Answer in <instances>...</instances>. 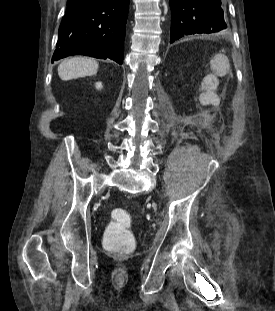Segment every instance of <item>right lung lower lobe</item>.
Returning a JSON list of instances; mask_svg holds the SVG:
<instances>
[{
  "label": "right lung lower lobe",
  "instance_id": "98d812e1",
  "mask_svg": "<svg viewBox=\"0 0 275 311\" xmlns=\"http://www.w3.org/2000/svg\"><path fill=\"white\" fill-rule=\"evenodd\" d=\"M129 0L69 1L52 62L71 55L123 63Z\"/></svg>",
  "mask_w": 275,
  "mask_h": 311
}]
</instances>
